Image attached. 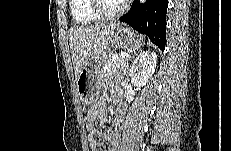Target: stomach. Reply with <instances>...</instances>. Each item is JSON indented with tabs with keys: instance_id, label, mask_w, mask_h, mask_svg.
<instances>
[{
	"instance_id": "stomach-1",
	"label": "stomach",
	"mask_w": 231,
	"mask_h": 151,
	"mask_svg": "<svg viewBox=\"0 0 231 151\" xmlns=\"http://www.w3.org/2000/svg\"><path fill=\"white\" fill-rule=\"evenodd\" d=\"M142 43L141 36L131 29L121 26L116 27L111 46L106 51L91 57L78 76L76 81L77 92L84 105H92L98 100L101 80L100 70L115 50L120 48L137 50Z\"/></svg>"
}]
</instances>
